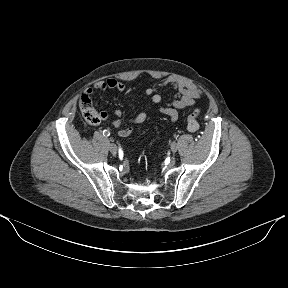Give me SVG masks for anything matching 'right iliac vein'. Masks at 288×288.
I'll list each match as a JSON object with an SVG mask.
<instances>
[{"label":"right iliac vein","mask_w":288,"mask_h":288,"mask_svg":"<svg viewBox=\"0 0 288 288\" xmlns=\"http://www.w3.org/2000/svg\"><path fill=\"white\" fill-rule=\"evenodd\" d=\"M109 150L112 154H116L117 153V146L114 143H110L109 144Z\"/></svg>","instance_id":"63e3f726"}]
</instances>
